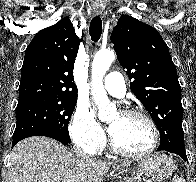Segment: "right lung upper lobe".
<instances>
[{"instance_id": "obj_1", "label": "right lung upper lobe", "mask_w": 196, "mask_h": 182, "mask_svg": "<svg viewBox=\"0 0 196 182\" xmlns=\"http://www.w3.org/2000/svg\"><path fill=\"white\" fill-rule=\"evenodd\" d=\"M80 41L69 17L35 35L24 57L18 105L43 99L77 98L73 68Z\"/></svg>"}]
</instances>
